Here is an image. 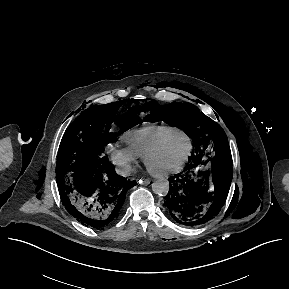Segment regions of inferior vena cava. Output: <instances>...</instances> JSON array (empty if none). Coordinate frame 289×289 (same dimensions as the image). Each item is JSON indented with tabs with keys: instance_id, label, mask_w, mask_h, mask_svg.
<instances>
[{
	"instance_id": "obj_1",
	"label": "inferior vena cava",
	"mask_w": 289,
	"mask_h": 289,
	"mask_svg": "<svg viewBox=\"0 0 289 289\" xmlns=\"http://www.w3.org/2000/svg\"><path fill=\"white\" fill-rule=\"evenodd\" d=\"M118 174L127 176L131 172V167L129 165H126L123 169L117 170Z\"/></svg>"
}]
</instances>
